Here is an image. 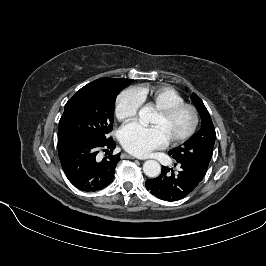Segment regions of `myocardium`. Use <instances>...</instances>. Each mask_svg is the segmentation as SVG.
<instances>
[{
    "label": "myocardium",
    "instance_id": "obj_1",
    "mask_svg": "<svg viewBox=\"0 0 266 266\" xmlns=\"http://www.w3.org/2000/svg\"><path fill=\"white\" fill-rule=\"evenodd\" d=\"M183 110H188L191 113L192 124L190 128L183 135L174 139H170V142L172 144H181L190 139L196 133L200 122L199 112L194 105L188 103H182L165 109L158 110V114L164 118H171Z\"/></svg>",
    "mask_w": 266,
    "mask_h": 266
}]
</instances>
